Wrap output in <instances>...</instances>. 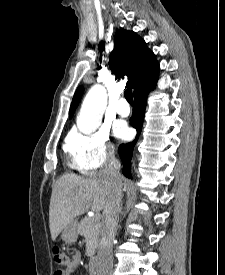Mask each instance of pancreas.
Here are the masks:
<instances>
[{"mask_svg": "<svg viewBox=\"0 0 225 275\" xmlns=\"http://www.w3.org/2000/svg\"><path fill=\"white\" fill-rule=\"evenodd\" d=\"M100 222L95 218L83 219L77 227L81 236L86 238V255L92 257L99 239Z\"/></svg>", "mask_w": 225, "mask_h": 275, "instance_id": "pancreas-1", "label": "pancreas"}]
</instances>
